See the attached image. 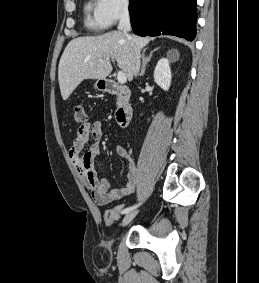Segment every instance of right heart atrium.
Segmentation results:
<instances>
[{
	"label": "right heart atrium",
	"instance_id": "1",
	"mask_svg": "<svg viewBox=\"0 0 259 283\" xmlns=\"http://www.w3.org/2000/svg\"><path fill=\"white\" fill-rule=\"evenodd\" d=\"M96 9L104 27L110 28L130 15L132 5L130 0H96Z\"/></svg>",
	"mask_w": 259,
	"mask_h": 283
}]
</instances>
